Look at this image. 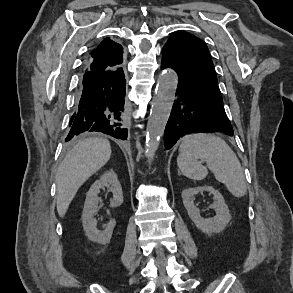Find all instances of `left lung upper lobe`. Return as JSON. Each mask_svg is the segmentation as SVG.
Wrapping results in <instances>:
<instances>
[{
    "instance_id": "1",
    "label": "left lung upper lobe",
    "mask_w": 293,
    "mask_h": 293,
    "mask_svg": "<svg viewBox=\"0 0 293 293\" xmlns=\"http://www.w3.org/2000/svg\"><path fill=\"white\" fill-rule=\"evenodd\" d=\"M163 48L170 51L188 81L221 96L209 50L201 39L185 31H176Z\"/></svg>"
}]
</instances>
